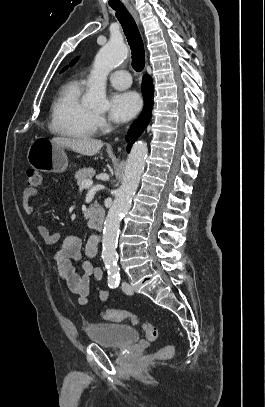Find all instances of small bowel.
Here are the masks:
<instances>
[{
  "instance_id": "1",
  "label": "small bowel",
  "mask_w": 265,
  "mask_h": 407,
  "mask_svg": "<svg viewBox=\"0 0 265 407\" xmlns=\"http://www.w3.org/2000/svg\"><path fill=\"white\" fill-rule=\"evenodd\" d=\"M40 193L39 190L26 187L22 192V206L28 215H35V209L31 206L30 200ZM37 233L48 245L56 244L61 239V234L57 230H52L45 225L39 224L36 227ZM98 242L95 237H90L83 248V240L78 235L65 237L60 248L53 255L57 270L61 279L66 283L68 289L78 295V302L81 306L88 304L91 292V280L99 282L103 277V270L95 267L91 261H85L82 264V274L78 273L73 265L74 262L81 260L83 252L92 258L96 255ZM95 291L102 303L108 301L109 294L99 286Z\"/></svg>"
}]
</instances>
